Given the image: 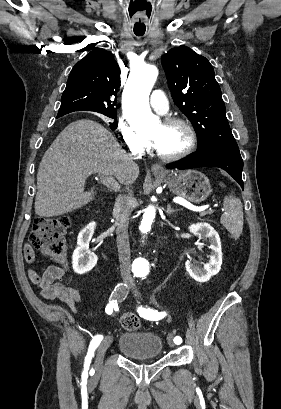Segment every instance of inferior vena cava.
I'll use <instances>...</instances> for the list:
<instances>
[{
    "instance_id": "obj_1",
    "label": "inferior vena cava",
    "mask_w": 281,
    "mask_h": 409,
    "mask_svg": "<svg viewBox=\"0 0 281 409\" xmlns=\"http://www.w3.org/2000/svg\"><path fill=\"white\" fill-rule=\"evenodd\" d=\"M126 192L132 194L130 186H126ZM129 215L130 213L128 209L120 211L116 221V235L121 277L126 283H134L130 273V247L128 237Z\"/></svg>"
}]
</instances>
